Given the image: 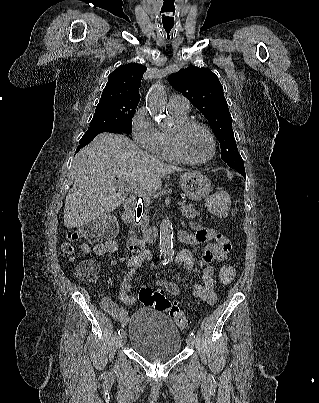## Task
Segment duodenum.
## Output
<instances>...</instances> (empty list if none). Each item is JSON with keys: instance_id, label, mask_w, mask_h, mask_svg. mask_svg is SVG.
I'll return each mask as SVG.
<instances>
[{"instance_id": "410a0bca", "label": "duodenum", "mask_w": 319, "mask_h": 403, "mask_svg": "<svg viewBox=\"0 0 319 403\" xmlns=\"http://www.w3.org/2000/svg\"><path fill=\"white\" fill-rule=\"evenodd\" d=\"M140 203L141 202L135 196H129L125 200L123 211V220L128 234L127 246L133 251H141L145 244L154 241L159 233V225H152L144 231L141 237L135 235L131 222Z\"/></svg>"}]
</instances>
